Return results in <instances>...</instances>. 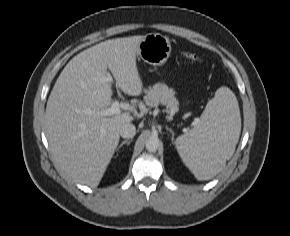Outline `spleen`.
I'll list each match as a JSON object with an SVG mask.
<instances>
[{
  "label": "spleen",
  "mask_w": 290,
  "mask_h": 236,
  "mask_svg": "<svg viewBox=\"0 0 290 236\" xmlns=\"http://www.w3.org/2000/svg\"><path fill=\"white\" fill-rule=\"evenodd\" d=\"M241 131V117L235 94L219 88L206 105L198 124L179 136L176 149L198 180L220 173L234 154Z\"/></svg>",
  "instance_id": "1"
}]
</instances>
